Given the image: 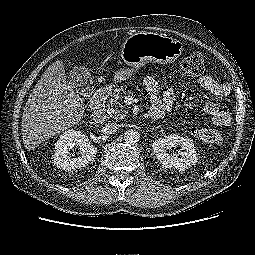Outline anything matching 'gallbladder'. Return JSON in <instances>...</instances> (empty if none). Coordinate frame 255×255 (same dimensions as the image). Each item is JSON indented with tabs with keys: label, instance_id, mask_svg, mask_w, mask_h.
<instances>
[{
	"label": "gallbladder",
	"instance_id": "obj_1",
	"mask_svg": "<svg viewBox=\"0 0 255 255\" xmlns=\"http://www.w3.org/2000/svg\"><path fill=\"white\" fill-rule=\"evenodd\" d=\"M68 81L77 93L88 92L93 84V78L84 66H75L69 70Z\"/></svg>",
	"mask_w": 255,
	"mask_h": 255
}]
</instances>
